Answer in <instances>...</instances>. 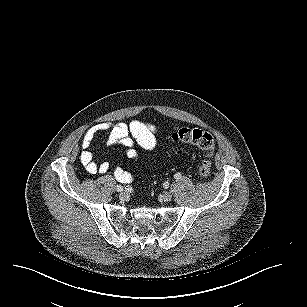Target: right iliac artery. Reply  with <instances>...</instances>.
Returning a JSON list of instances; mask_svg holds the SVG:
<instances>
[{"label": "right iliac artery", "mask_w": 307, "mask_h": 307, "mask_svg": "<svg viewBox=\"0 0 307 307\" xmlns=\"http://www.w3.org/2000/svg\"><path fill=\"white\" fill-rule=\"evenodd\" d=\"M116 191H117V192L123 191V187H122L121 185H117V186H116Z\"/></svg>", "instance_id": "1"}]
</instances>
